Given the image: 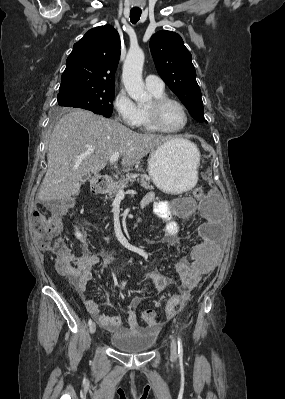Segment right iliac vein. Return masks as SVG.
I'll return each mask as SVG.
<instances>
[{
	"label": "right iliac vein",
	"instance_id": "63e3f726",
	"mask_svg": "<svg viewBox=\"0 0 285 399\" xmlns=\"http://www.w3.org/2000/svg\"><path fill=\"white\" fill-rule=\"evenodd\" d=\"M95 332H96V324L92 323L91 326H90V333L94 334Z\"/></svg>",
	"mask_w": 285,
	"mask_h": 399
}]
</instances>
